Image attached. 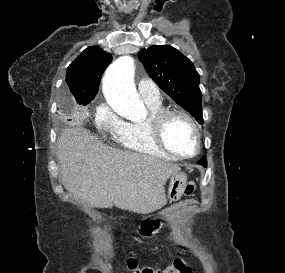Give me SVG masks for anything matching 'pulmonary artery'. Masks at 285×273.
Listing matches in <instances>:
<instances>
[{
	"instance_id": "e3ab8cb5",
	"label": "pulmonary artery",
	"mask_w": 285,
	"mask_h": 273,
	"mask_svg": "<svg viewBox=\"0 0 285 273\" xmlns=\"http://www.w3.org/2000/svg\"><path fill=\"white\" fill-rule=\"evenodd\" d=\"M137 85L138 91L145 102L161 101L160 90L152 80L148 78H141Z\"/></svg>"
}]
</instances>
